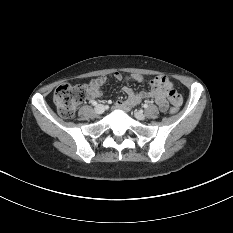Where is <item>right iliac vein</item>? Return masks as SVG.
Listing matches in <instances>:
<instances>
[{"mask_svg":"<svg viewBox=\"0 0 233 233\" xmlns=\"http://www.w3.org/2000/svg\"><path fill=\"white\" fill-rule=\"evenodd\" d=\"M105 111V107L102 104H98L95 107V112L98 114H102Z\"/></svg>","mask_w":233,"mask_h":233,"instance_id":"right-iliac-vein-1","label":"right iliac vein"}]
</instances>
